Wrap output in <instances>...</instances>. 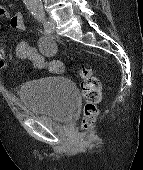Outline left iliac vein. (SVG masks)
Returning <instances> with one entry per match:
<instances>
[{"instance_id": "left-iliac-vein-1", "label": "left iliac vein", "mask_w": 143, "mask_h": 170, "mask_svg": "<svg viewBox=\"0 0 143 170\" xmlns=\"http://www.w3.org/2000/svg\"><path fill=\"white\" fill-rule=\"evenodd\" d=\"M54 27H55V21L52 18L48 19L47 26L45 27L46 32L47 33L53 32Z\"/></svg>"}]
</instances>
